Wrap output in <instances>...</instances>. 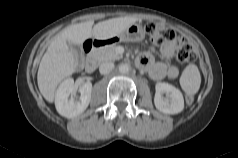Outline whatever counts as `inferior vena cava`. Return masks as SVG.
<instances>
[{
  "label": "inferior vena cava",
  "instance_id": "602c4592",
  "mask_svg": "<svg viewBox=\"0 0 238 158\" xmlns=\"http://www.w3.org/2000/svg\"><path fill=\"white\" fill-rule=\"evenodd\" d=\"M114 68V64L112 62L102 63L99 67V71L101 74L105 75L110 73Z\"/></svg>",
  "mask_w": 238,
  "mask_h": 158
}]
</instances>
